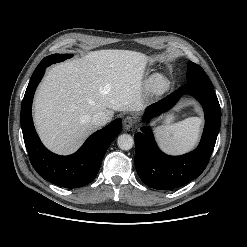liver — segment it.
<instances>
[{
  "mask_svg": "<svg viewBox=\"0 0 247 247\" xmlns=\"http://www.w3.org/2000/svg\"><path fill=\"white\" fill-rule=\"evenodd\" d=\"M148 57L129 50H99L55 65L34 100V123L44 145L75 152L96 129L92 117L145 107L143 76Z\"/></svg>",
  "mask_w": 247,
  "mask_h": 247,
  "instance_id": "liver-1",
  "label": "liver"
}]
</instances>
